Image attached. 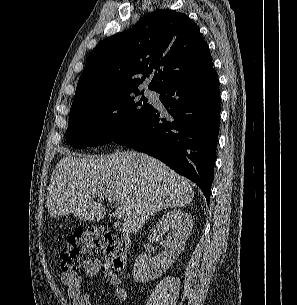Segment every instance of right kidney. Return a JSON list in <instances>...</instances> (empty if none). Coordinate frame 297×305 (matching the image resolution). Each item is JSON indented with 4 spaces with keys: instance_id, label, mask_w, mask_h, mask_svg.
<instances>
[{
    "instance_id": "right-kidney-1",
    "label": "right kidney",
    "mask_w": 297,
    "mask_h": 305,
    "mask_svg": "<svg viewBox=\"0 0 297 305\" xmlns=\"http://www.w3.org/2000/svg\"><path fill=\"white\" fill-rule=\"evenodd\" d=\"M193 227V221L188 213L171 210L159 219L156 232L164 235L171 229L165 241V249L154 258H148L141 253L133 267V278L136 282L146 283L160 277L177 259L184 249L185 243ZM152 235L149 236L151 241Z\"/></svg>"
}]
</instances>
